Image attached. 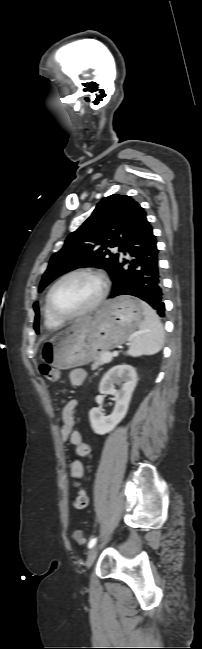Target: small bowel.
<instances>
[{"label":"small bowel","instance_id":"1","mask_svg":"<svg viewBox=\"0 0 202 649\" xmlns=\"http://www.w3.org/2000/svg\"><path fill=\"white\" fill-rule=\"evenodd\" d=\"M85 378L86 372L83 369H74L69 374V382L73 386L82 385ZM76 407L77 402L72 400L62 408L60 439L63 444L69 442L73 447L75 459L69 465V473L73 482L78 486L84 475V466L79 458L87 457L90 454V447L82 441L80 432L74 429ZM65 451V449L62 450V457L65 456ZM72 503L77 509L85 508L88 503L86 492L80 490Z\"/></svg>","mask_w":202,"mask_h":649}]
</instances>
